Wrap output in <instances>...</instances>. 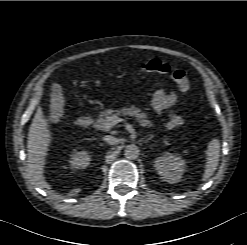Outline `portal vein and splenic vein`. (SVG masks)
<instances>
[{
    "mask_svg": "<svg viewBox=\"0 0 247 245\" xmlns=\"http://www.w3.org/2000/svg\"><path fill=\"white\" fill-rule=\"evenodd\" d=\"M123 121L124 120L122 118L112 116V117L108 118L107 126L111 128L112 126L116 125L117 123H120Z\"/></svg>",
    "mask_w": 247,
    "mask_h": 245,
    "instance_id": "portal-vein-and-splenic-vein-1",
    "label": "portal vein and splenic vein"
}]
</instances>
